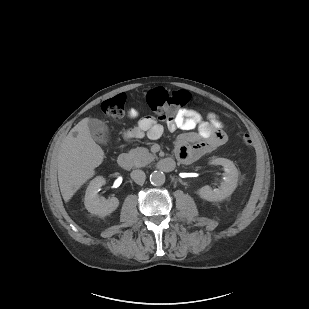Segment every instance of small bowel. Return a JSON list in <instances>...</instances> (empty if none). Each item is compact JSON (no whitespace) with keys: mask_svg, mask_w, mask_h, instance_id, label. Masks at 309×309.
<instances>
[{"mask_svg":"<svg viewBox=\"0 0 309 309\" xmlns=\"http://www.w3.org/2000/svg\"><path fill=\"white\" fill-rule=\"evenodd\" d=\"M129 116L135 118L138 113L130 110ZM169 131H184L177 138L175 153L183 163H192L206 153L218 148L226 142L223 125L213 114L204 120L202 115L191 109H181L166 120ZM163 126L152 116L139 119L138 124L128 131L129 137L148 136L157 139L163 134Z\"/></svg>","mask_w":309,"mask_h":309,"instance_id":"1","label":"small bowel"}]
</instances>
